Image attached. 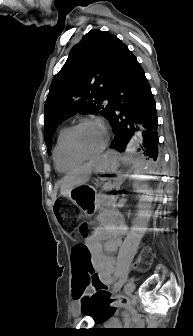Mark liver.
<instances>
[{
    "label": "liver",
    "mask_w": 193,
    "mask_h": 336,
    "mask_svg": "<svg viewBox=\"0 0 193 336\" xmlns=\"http://www.w3.org/2000/svg\"><path fill=\"white\" fill-rule=\"evenodd\" d=\"M103 156V155H102ZM102 156L96 157L82 166H78L68 173L61 181L60 192L63 196H69L71 190L84 185L89 181L93 167L98 164Z\"/></svg>",
    "instance_id": "obj_1"
}]
</instances>
